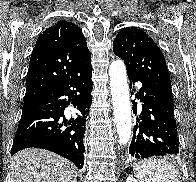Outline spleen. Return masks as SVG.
Here are the masks:
<instances>
[{"label":"spleen","instance_id":"obj_1","mask_svg":"<svg viewBox=\"0 0 196 182\" xmlns=\"http://www.w3.org/2000/svg\"><path fill=\"white\" fill-rule=\"evenodd\" d=\"M139 182H181L179 171L174 165L160 159H149L134 168Z\"/></svg>","mask_w":196,"mask_h":182}]
</instances>
